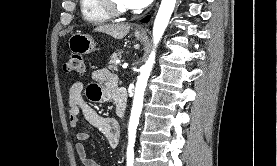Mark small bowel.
Masks as SVG:
<instances>
[{"label": "small bowel", "instance_id": "small-bowel-1", "mask_svg": "<svg viewBox=\"0 0 277 166\" xmlns=\"http://www.w3.org/2000/svg\"><path fill=\"white\" fill-rule=\"evenodd\" d=\"M93 82L86 88V98L93 103H108L115 101L118 89V77L108 69H97L91 74ZM69 124L76 128L80 117L92 126L98 128L106 137L111 148L117 147L120 139V127L113 118H108L97 113L84 99L83 85L74 83L69 89ZM89 139V134L80 131L76 134L75 151L82 166H101L87 154L84 142Z\"/></svg>", "mask_w": 277, "mask_h": 166}]
</instances>
